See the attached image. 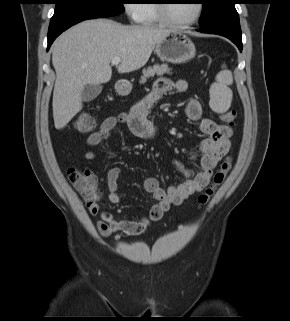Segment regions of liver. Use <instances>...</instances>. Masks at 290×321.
<instances>
[{
    "label": "liver",
    "instance_id": "6515ba94",
    "mask_svg": "<svg viewBox=\"0 0 290 321\" xmlns=\"http://www.w3.org/2000/svg\"><path fill=\"white\" fill-rule=\"evenodd\" d=\"M170 32L147 25L126 26L110 19H93L62 33L52 46L56 71L52 102L55 128H64L81 111V93L86 85H100L111 79L113 58L121 59L119 73L140 69Z\"/></svg>",
    "mask_w": 290,
    "mask_h": 321
}]
</instances>
